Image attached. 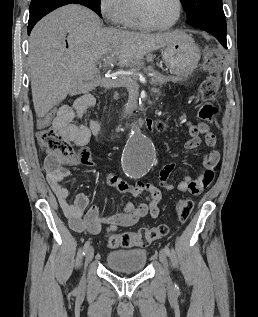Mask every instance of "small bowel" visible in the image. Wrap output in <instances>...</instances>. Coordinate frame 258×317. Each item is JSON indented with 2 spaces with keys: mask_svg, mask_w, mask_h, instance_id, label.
Wrapping results in <instances>:
<instances>
[{
  "mask_svg": "<svg viewBox=\"0 0 258 317\" xmlns=\"http://www.w3.org/2000/svg\"><path fill=\"white\" fill-rule=\"evenodd\" d=\"M95 104L96 100L93 95H82L73 105L59 107L56 112L52 113L48 121L41 119L39 126L44 127L52 124L66 140L73 142L78 147H83L99 131V124L93 119H90L87 124L80 122L81 118ZM145 124L149 129L154 128V123L151 120H147ZM186 126L191 136L185 143L187 150L195 149L201 144V135H204L205 144L210 148L203 159V169L199 175L196 178L186 175L177 185L180 192L198 195L212 182L220 160V153L216 148V137L209 131L206 124L187 122ZM65 164L60 158L53 155L46 157L44 162L48 183L70 227L76 232L88 231L91 234H99L103 225H107L109 231H116L121 227L135 225L147 215L156 218L159 215V204L162 198L161 190L172 191L175 188L173 184L168 182V177L175 168V164L172 162L166 163L160 171L158 186L145 182L130 185L119 176L106 173L105 180L109 185L121 192H127L134 197L142 198L143 201L137 205L127 202L122 212L103 217L95 205L89 204V199L84 193L76 194L73 202H68L69 192L62 185L63 180L69 176ZM81 164L87 167L95 166L88 152H86Z\"/></svg>",
  "mask_w": 258,
  "mask_h": 317,
  "instance_id": "1",
  "label": "small bowel"
}]
</instances>
